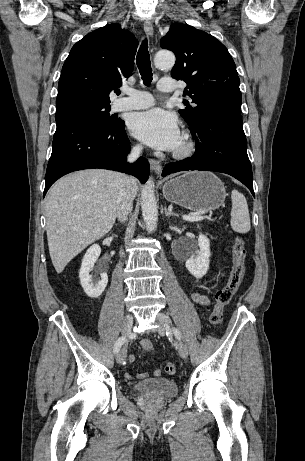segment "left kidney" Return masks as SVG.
<instances>
[{"instance_id": "obj_1", "label": "left kidney", "mask_w": 305, "mask_h": 461, "mask_svg": "<svg viewBox=\"0 0 305 461\" xmlns=\"http://www.w3.org/2000/svg\"><path fill=\"white\" fill-rule=\"evenodd\" d=\"M210 255V241L205 235L200 233L198 247L193 246L186 261V268L195 278H202L207 273L210 264Z\"/></svg>"}]
</instances>
